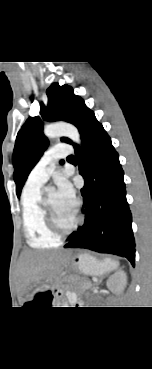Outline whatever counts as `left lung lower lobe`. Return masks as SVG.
<instances>
[{
	"mask_svg": "<svg viewBox=\"0 0 152 369\" xmlns=\"http://www.w3.org/2000/svg\"><path fill=\"white\" fill-rule=\"evenodd\" d=\"M84 150L74 145L85 185V222L70 235L65 248H87L126 257L135 266L132 215L126 200L124 172L111 139L94 113L85 122ZM82 152L85 154L82 157Z\"/></svg>",
	"mask_w": 152,
	"mask_h": 369,
	"instance_id": "1",
	"label": "left lung lower lobe"
}]
</instances>
